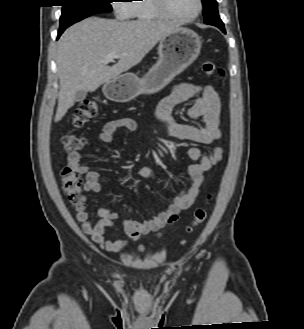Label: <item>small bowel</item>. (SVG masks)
<instances>
[{"label":"small bowel","instance_id":"1","mask_svg":"<svg viewBox=\"0 0 304 329\" xmlns=\"http://www.w3.org/2000/svg\"><path fill=\"white\" fill-rule=\"evenodd\" d=\"M190 100H193V104L187 110V117L190 119H201L202 123L200 126L176 122L171 116L175 106ZM220 112V99L212 86L182 83L174 87L170 94L160 101L156 109V116L170 137L199 144H211L221 140L219 128ZM135 128L136 124L130 118L122 117L108 121L98 135L97 149L100 150L102 145L110 143L117 130H134ZM187 153L189 158L196 161L187 170L190 185L181 188L176 194L171 195L164 210L158 212L150 219L134 221L122 218L117 211L99 208L97 211L99 220L93 224L89 216L87 198L83 195L80 202L75 205V210L76 219L81 223L84 233L89 235L104 250L115 253L125 250L130 241H137L141 236L150 232H155L157 238H160L161 230L166 225L175 222L180 213L188 209L196 200L204 181L205 173L222 159L223 149L221 146H217L212 152L208 153L199 148L191 147ZM81 160L79 153H70L68 156L69 167L85 177V192L101 191L102 185L99 172L82 164ZM136 175L143 180L150 179L153 177V169L150 166H143L136 171ZM114 225L121 226L128 239L105 240V229ZM153 245L154 243L149 245L140 244L137 250L142 253Z\"/></svg>","mask_w":304,"mask_h":329}]
</instances>
